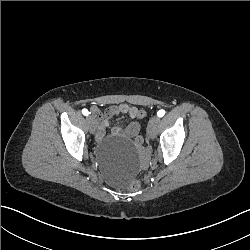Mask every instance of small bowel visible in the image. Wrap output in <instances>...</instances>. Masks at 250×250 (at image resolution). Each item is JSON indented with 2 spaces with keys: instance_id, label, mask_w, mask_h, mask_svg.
Masks as SVG:
<instances>
[{
  "instance_id": "small-bowel-1",
  "label": "small bowel",
  "mask_w": 250,
  "mask_h": 250,
  "mask_svg": "<svg viewBox=\"0 0 250 250\" xmlns=\"http://www.w3.org/2000/svg\"><path fill=\"white\" fill-rule=\"evenodd\" d=\"M92 112L99 121V127L96 132V138L98 140L104 137L105 129L108 126V121L119 114H128L132 121L129 122L125 127H113L111 129L112 135H121L128 138H134L137 137L140 132V125L136 121V119L140 118L139 111L135 106L121 104L109 107L105 113H101L97 108H93Z\"/></svg>"
}]
</instances>
